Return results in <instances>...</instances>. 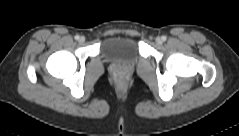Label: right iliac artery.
<instances>
[{"label": "right iliac artery", "mask_w": 239, "mask_h": 136, "mask_svg": "<svg viewBox=\"0 0 239 136\" xmlns=\"http://www.w3.org/2000/svg\"><path fill=\"white\" fill-rule=\"evenodd\" d=\"M79 38H80L79 35H76V36H75V39H76V40H79Z\"/></svg>", "instance_id": "82829eb1"}]
</instances>
